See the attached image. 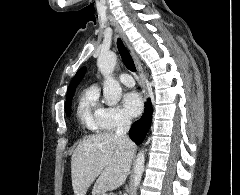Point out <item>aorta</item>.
I'll list each match as a JSON object with an SVG mask.
<instances>
[{
    "label": "aorta",
    "instance_id": "obj_1",
    "mask_svg": "<svg viewBox=\"0 0 240 195\" xmlns=\"http://www.w3.org/2000/svg\"><path fill=\"white\" fill-rule=\"evenodd\" d=\"M116 60L117 58L114 52H103V54H100V56H98L97 60V68L104 78L103 96L108 105H116V103H118L119 99H121L122 96V88L119 82H117V80L113 78ZM144 163L145 153L144 151H139L133 169L134 189L138 187L141 181V177L144 171Z\"/></svg>",
    "mask_w": 240,
    "mask_h": 195
}]
</instances>
